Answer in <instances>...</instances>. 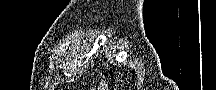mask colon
<instances>
[{"label": "colon", "instance_id": "5ec220e1", "mask_svg": "<svg viewBox=\"0 0 216 90\" xmlns=\"http://www.w3.org/2000/svg\"><path fill=\"white\" fill-rule=\"evenodd\" d=\"M91 90H108L107 81L104 78H101Z\"/></svg>", "mask_w": 216, "mask_h": 90}]
</instances>
